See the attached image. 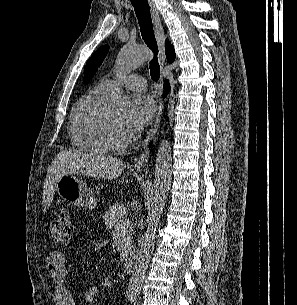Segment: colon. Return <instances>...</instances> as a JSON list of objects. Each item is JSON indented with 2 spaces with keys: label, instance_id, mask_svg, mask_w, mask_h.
<instances>
[{
  "label": "colon",
  "instance_id": "1",
  "mask_svg": "<svg viewBox=\"0 0 297 305\" xmlns=\"http://www.w3.org/2000/svg\"><path fill=\"white\" fill-rule=\"evenodd\" d=\"M72 234L71 215L67 210H62L51 225L50 238L56 244L65 245L72 237Z\"/></svg>",
  "mask_w": 297,
  "mask_h": 305
}]
</instances>
